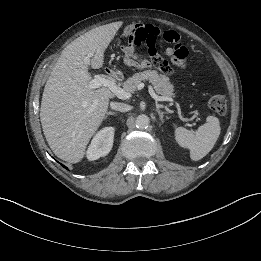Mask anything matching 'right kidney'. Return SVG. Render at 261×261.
<instances>
[{"instance_id":"1","label":"right kidney","mask_w":261,"mask_h":261,"mask_svg":"<svg viewBox=\"0 0 261 261\" xmlns=\"http://www.w3.org/2000/svg\"><path fill=\"white\" fill-rule=\"evenodd\" d=\"M114 132L113 127H105L96 133L86 153L88 160H97L110 152L113 146Z\"/></svg>"}]
</instances>
